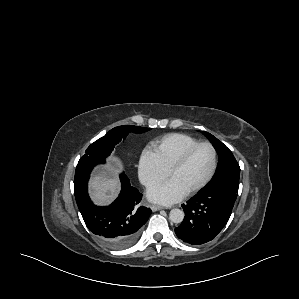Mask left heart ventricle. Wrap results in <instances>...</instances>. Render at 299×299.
Listing matches in <instances>:
<instances>
[{
  "label": "left heart ventricle",
  "instance_id": "b2bd125f",
  "mask_svg": "<svg viewBox=\"0 0 299 299\" xmlns=\"http://www.w3.org/2000/svg\"><path fill=\"white\" fill-rule=\"evenodd\" d=\"M212 151L208 146H200L189 157L187 162L171 177L186 192L199 184L212 167Z\"/></svg>",
  "mask_w": 299,
  "mask_h": 299
}]
</instances>
